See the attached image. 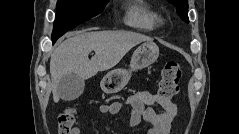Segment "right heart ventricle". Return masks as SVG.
I'll return each instance as SVG.
<instances>
[{
  "instance_id": "e07e8e85",
  "label": "right heart ventricle",
  "mask_w": 239,
  "mask_h": 134,
  "mask_svg": "<svg viewBox=\"0 0 239 134\" xmlns=\"http://www.w3.org/2000/svg\"><path fill=\"white\" fill-rule=\"evenodd\" d=\"M124 22L132 28L152 31L159 22V16L145 2L136 1L127 7Z\"/></svg>"
}]
</instances>
